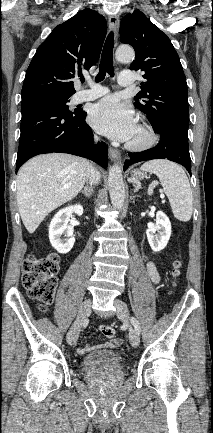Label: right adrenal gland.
I'll list each match as a JSON object with an SVG mask.
<instances>
[{"mask_svg":"<svg viewBox=\"0 0 213 433\" xmlns=\"http://www.w3.org/2000/svg\"><path fill=\"white\" fill-rule=\"evenodd\" d=\"M93 189L91 186H86L84 190L80 191L86 198H90L92 195Z\"/></svg>","mask_w":213,"mask_h":433,"instance_id":"1","label":"right adrenal gland"}]
</instances>
